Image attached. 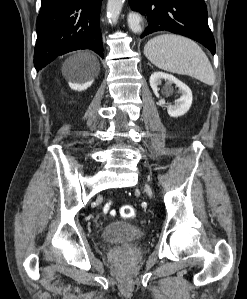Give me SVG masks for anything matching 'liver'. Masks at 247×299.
Listing matches in <instances>:
<instances>
[{"mask_svg": "<svg viewBox=\"0 0 247 299\" xmlns=\"http://www.w3.org/2000/svg\"><path fill=\"white\" fill-rule=\"evenodd\" d=\"M71 62L75 63H85L88 66V69H90L91 72V77L97 76L99 69H100V64L95 55H93L90 52H79L76 55H74L71 59Z\"/></svg>", "mask_w": 247, "mask_h": 299, "instance_id": "6515ba94", "label": "liver"}]
</instances>
